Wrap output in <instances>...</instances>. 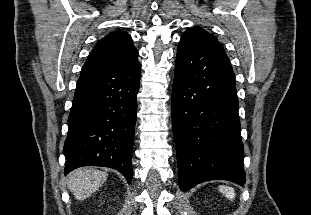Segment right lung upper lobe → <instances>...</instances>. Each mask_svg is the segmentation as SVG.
<instances>
[{
	"label": "right lung upper lobe",
	"instance_id": "obj_1",
	"mask_svg": "<svg viewBox=\"0 0 311 215\" xmlns=\"http://www.w3.org/2000/svg\"><path fill=\"white\" fill-rule=\"evenodd\" d=\"M138 62V51L125 31H115L101 39L90 52L84 66L130 67Z\"/></svg>",
	"mask_w": 311,
	"mask_h": 215
}]
</instances>
